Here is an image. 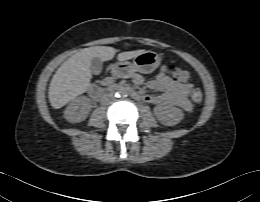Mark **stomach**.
<instances>
[{
  "label": "stomach",
  "instance_id": "stomach-1",
  "mask_svg": "<svg viewBox=\"0 0 260 202\" xmlns=\"http://www.w3.org/2000/svg\"><path fill=\"white\" fill-rule=\"evenodd\" d=\"M161 62L159 55L152 51H145L133 59V62H119L114 65L113 73L119 78H129L135 72L151 73Z\"/></svg>",
  "mask_w": 260,
  "mask_h": 202
}]
</instances>
